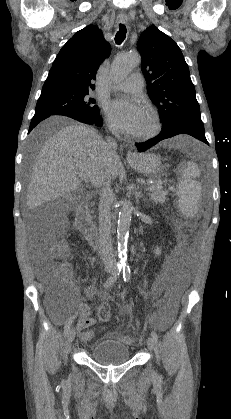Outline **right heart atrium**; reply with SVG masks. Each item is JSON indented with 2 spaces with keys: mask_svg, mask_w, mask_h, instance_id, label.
<instances>
[{
  "mask_svg": "<svg viewBox=\"0 0 231 419\" xmlns=\"http://www.w3.org/2000/svg\"><path fill=\"white\" fill-rule=\"evenodd\" d=\"M106 123H107V127L109 128V130L111 132H113V133H117L118 132L117 125L114 122H112L109 118H107Z\"/></svg>",
  "mask_w": 231,
  "mask_h": 419,
  "instance_id": "1",
  "label": "right heart atrium"
}]
</instances>
